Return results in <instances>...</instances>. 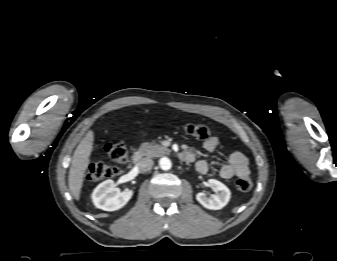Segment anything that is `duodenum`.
<instances>
[{"mask_svg": "<svg viewBox=\"0 0 337 261\" xmlns=\"http://www.w3.org/2000/svg\"><path fill=\"white\" fill-rule=\"evenodd\" d=\"M180 158L183 160V161H187L189 159V155L182 152L180 154ZM143 159V155L141 152H135L133 157H132V161L134 164H139L141 162V160Z\"/></svg>", "mask_w": 337, "mask_h": 261, "instance_id": "obj_1", "label": "duodenum"}]
</instances>
